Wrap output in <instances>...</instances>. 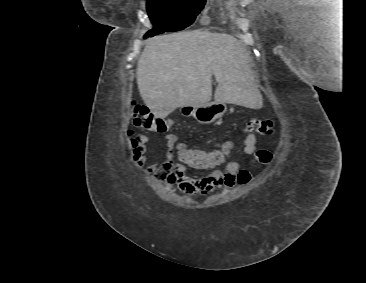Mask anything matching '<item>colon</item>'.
Returning <instances> with one entry per match:
<instances>
[{
    "label": "colon",
    "instance_id": "obj_1",
    "mask_svg": "<svg viewBox=\"0 0 366 283\" xmlns=\"http://www.w3.org/2000/svg\"><path fill=\"white\" fill-rule=\"evenodd\" d=\"M131 117L133 123L138 128L145 131L164 132L170 126V122L154 116L148 107L139 104L132 105ZM275 128V122L272 119L252 118L247 123V129L251 133L260 135H271ZM180 158L189 166L202 169L212 164L214 159L210 152L204 151H189L184 147L180 149ZM272 154L260 149L254 154L253 161L261 164H269L272 161ZM251 180V173L248 169H242L238 174V182L242 185L249 183Z\"/></svg>",
    "mask_w": 366,
    "mask_h": 283
}]
</instances>
